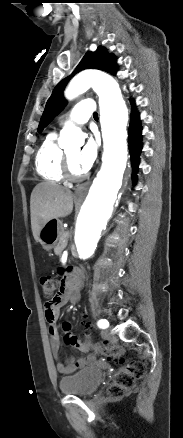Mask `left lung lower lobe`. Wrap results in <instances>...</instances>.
<instances>
[{"label":"left lung lower lobe","mask_w":183,"mask_h":438,"mask_svg":"<svg viewBox=\"0 0 183 438\" xmlns=\"http://www.w3.org/2000/svg\"><path fill=\"white\" fill-rule=\"evenodd\" d=\"M132 106H134L133 100H131ZM129 129V146H130V156L131 164L133 167V177H135L137 167L139 164V154L142 149L141 143V126L139 121V113L136 111L132 112L131 122Z\"/></svg>","instance_id":"0a47b994"}]
</instances>
